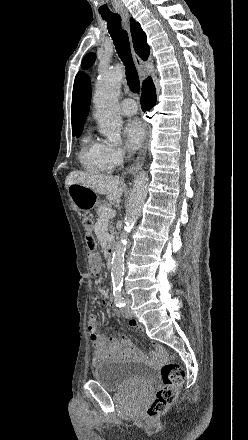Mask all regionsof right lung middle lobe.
Masks as SVG:
<instances>
[{"instance_id": "obj_1", "label": "right lung middle lobe", "mask_w": 248, "mask_h": 440, "mask_svg": "<svg viewBox=\"0 0 248 440\" xmlns=\"http://www.w3.org/2000/svg\"><path fill=\"white\" fill-rule=\"evenodd\" d=\"M81 130L80 131H74L73 132V136H76L77 138L81 135Z\"/></svg>"}]
</instances>
